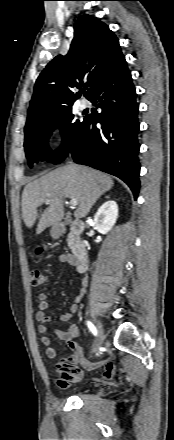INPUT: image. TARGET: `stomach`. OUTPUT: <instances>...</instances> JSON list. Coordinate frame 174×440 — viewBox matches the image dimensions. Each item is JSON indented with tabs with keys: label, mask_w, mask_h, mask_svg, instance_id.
<instances>
[{
	"label": "stomach",
	"mask_w": 174,
	"mask_h": 440,
	"mask_svg": "<svg viewBox=\"0 0 174 440\" xmlns=\"http://www.w3.org/2000/svg\"><path fill=\"white\" fill-rule=\"evenodd\" d=\"M52 236L55 237L56 235L52 232Z\"/></svg>",
	"instance_id": "obj_1"
}]
</instances>
